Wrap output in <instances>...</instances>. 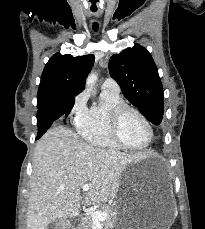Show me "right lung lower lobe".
<instances>
[{
    "instance_id": "obj_1",
    "label": "right lung lower lobe",
    "mask_w": 205,
    "mask_h": 229,
    "mask_svg": "<svg viewBox=\"0 0 205 229\" xmlns=\"http://www.w3.org/2000/svg\"><path fill=\"white\" fill-rule=\"evenodd\" d=\"M70 97H65L54 101L37 112L38 134L36 140L39 139L51 126L53 121L60 118L63 114L68 116L75 101H70Z\"/></svg>"
}]
</instances>
